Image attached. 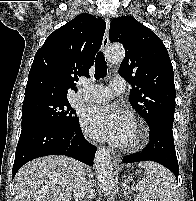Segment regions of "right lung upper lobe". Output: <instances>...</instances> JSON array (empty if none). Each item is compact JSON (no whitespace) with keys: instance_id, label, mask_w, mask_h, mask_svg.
<instances>
[{"instance_id":"obj_1","label":"right lung upper lobe","mask_w":196,"mask_h":201,"mask_svg":"<svg viewBox=\"0 0 196 201\" xmlns=\"http://www.w3.org/2000/svg\"><path fill=\"white\" fill-rule=\"evenodd\" d=\"M105 28L104 20L84 13L51 33L35 54L24 99L67 97L75 90L78 77L89 76Z\"/></svg>"}]
</instances>
